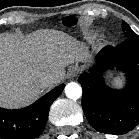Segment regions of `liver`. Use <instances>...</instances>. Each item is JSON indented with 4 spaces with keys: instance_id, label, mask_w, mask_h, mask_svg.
Returning a JSON list of instances; mask_svg holds the SVG:
<instances>
[{
    "instance_id": "liver-1",
    "label": "liver",
    "mask_w": 139,
    "mask_h": 139,
    "mask_svg": "<svg viewBox=\"0 0 139 139\" xmlns=\"http://www.w3.org/2000/svg\"><path fill=\"white\" fill-rule=\"evenodd\" d=\"M87 58L85 46L60 31L41 30L23 39L0 35V106L30 104L42 92V76L51 75L57 84L66 66Z\"/></svg>"
}]
</instances>
